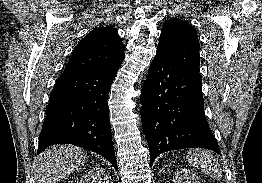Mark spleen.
Returning a JSON list of instances; mask_svg holds the SVG:
<instances>
[{
  "label": "spleen",
  "mask_w": 262,
  "mask_h": 183,
  "mask_svg": "<svg viewBox=\"0 0 262 183\" xmlns=\"http://www.w3.org/2000/svg\"><path fill=\"white\" fill-rule=\"evenodd\" d=\"M188 162L213 178H221L222 170L218 160L206 150L191 149L187 152Z\"/></svg>",
  "instance_id": "3e777b00"
}]
</instances>
